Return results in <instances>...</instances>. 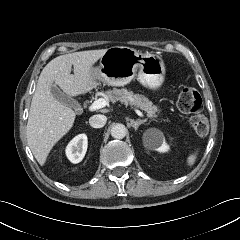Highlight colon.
<instances>
[{
    "label": "colon",
    "instance_id": "1",
    "mask_svg": "<svg viewBox=\"0 0 240 240\" xmlns=\"http://www.w3.org/2000/svg\"><path fill=\"white\" fill-rule=\"evenodd\" d=\"M178 110L182 113L192 114L190 125L199 136L207 134L209 123L205 115L201 113L203 100L194 87H185L181 90L177 100Z\"/></svg>",
    "mask_w": 240,
    "mask_h": 240
}]
</instances>
